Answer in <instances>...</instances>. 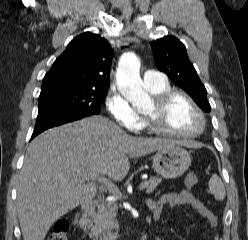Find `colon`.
<instances>
[{
    "label": "colon",
    "mask_w": 248,
    "mask_h": 240,
    "mask_svg": "<svg viewBox=\"0 0 248 240\" xmlns=\"http://www.w3.org/2000/svg\"><path fill=\"white\" fill-rule=\"evenodd\" d=\"M197 183V176L194 173H189L185 178V186L191 189ZM68 223L65 220L57 221L52 229L47 240H67Z\"/></svg>",
    "instance_id": "5ec220e1"
}]
</instances>
